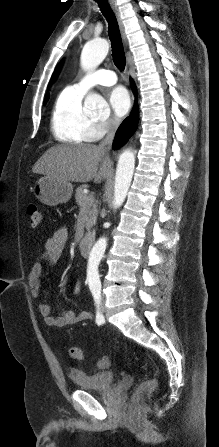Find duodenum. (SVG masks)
<instances>
[{
	"instance_id": "duodenum-1",
	"label": "duodenum",
	"mask_w": 219,
	"mask_h": 447,
	"mask_svg": "<svg viewBox=\"0 0 219 447\" xmlns=\"http://www.w3.org/2000/svg\"><path fill=\"white\" fill-rule=\"evenodd\" d=\"M93 240V235L91 233H86L80 241L79 249L83 257H88L90 252L91 243Z\"/></svg>"
}]
</instances>
